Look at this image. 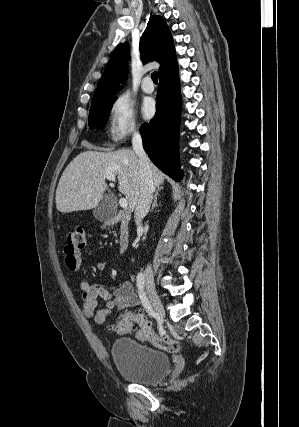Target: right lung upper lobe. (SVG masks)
<instances>
[{"label":"right lung upper lobe","instance_id":"obj_1","mask_svg":"<svg viewBox=\"0 0 299 427\" xmlns=\"http://www.w3.org/2000/svg\"><path fill=\"white\" fill-rule=\"evenodd\" d=\"M140 53L143 61L160 63L159 78L178 70L173 38L166 22L158 15L148 21L140 40ZM129 58L128 43L119 44L98 82L93 100L106 96H114L125 83Z\"/></svg>","mask_w":299,"mask_h":427}]
</instances>
